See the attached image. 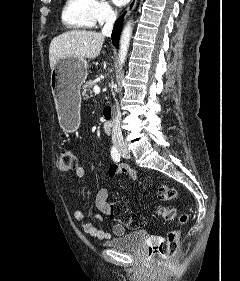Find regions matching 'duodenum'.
Instances as JSON below:
<instances>
[{
  "label": "duodenum",
  "instance_id": "1",
  "mask_svg": "<svg viewBox=\"0 0 240 281\" xmlns=\"http://www.w3.org/2000/svg\"><path fill=\"white\" fill-rule=\"evenodd\" d=\"M102 127H103L104 132L107 135H110L112 133V127H113L112 115H111V112H109L107 110L104 111Z\"/></svg>",
  "mask_w": 240,
  "mask_h": 281
}]
</instances>
